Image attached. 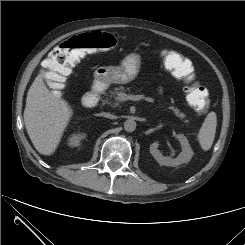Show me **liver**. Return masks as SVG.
I'll use <instances>...</instances> for the list:
<instances>
[{
  "label": "liver",
  "mask_w": 245,
  "mask_h": 245,
  "mask_svg": "<svg viewBox=\"0 0 245 245\" xmlns=\"http://www.w3.org/2000/svg\"><path fill=\"white\" fill-rule=\"evenodd\" d=\"M72 114L68 102L55 96L39 74L28 90L23 115L27 133L39 153L55 152Z\"/></svg>",
  "instance_id": "6515ba94"
}]
</instances>
